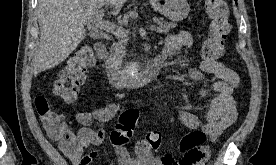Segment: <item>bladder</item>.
Listing matches in <instances>:
<instances>
[{"instance_id":"obj_1","label":"bladder","mask_w":276,"mask_h":165,"mask_svg":"<svg viewBox=\"0 0 276 165\" xmlns=\"http://www.w3.org/2000/svg\"><path fill=\"white\" fill-rule=\"evenodd\" d=\"M134 165H148V164H144V163H139V164H134Z\"/></svg>"}]
</instances>
